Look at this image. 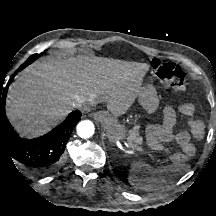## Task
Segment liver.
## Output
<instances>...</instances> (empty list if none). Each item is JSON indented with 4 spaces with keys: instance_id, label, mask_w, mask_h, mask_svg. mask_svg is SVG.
Here are the masks:
<instances>
[{
    "instance_id": "obj_1",
    "label": "liver",
    "mask_w": 216,
    "mask_h": 216,
    "mask_svg": "<svg viewBox=\"0 0 216 216\" xmlns=\"http://www.w3.org/2000/svg\"><path fill=\"white\" fill-rule=\"evenodd\" d=\"M148 65L101 58L47 57L14 82L7 96V115L27 137L42 135L74 107L77 97L108 101L117 113L138 96Z\"/></svg>"
}]
</instances>
